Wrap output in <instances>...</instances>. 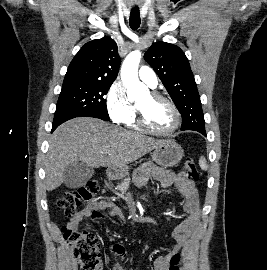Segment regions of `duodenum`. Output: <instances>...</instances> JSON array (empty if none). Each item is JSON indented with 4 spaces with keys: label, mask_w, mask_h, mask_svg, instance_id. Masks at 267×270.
I'll return each mask as SVG.
<instances>
[{
    "label": "duodenum",
    "mask_w": 267,
    "mask_h": 270,
    "mask_svg": "<svg viewBox=\"0 0 267 270\" xmlns=\"http://www.w3.org/2000/svg\"><path fill=\"white\" fill-rule=\"evenodd\" d=\"M108 174H109V176H111V175H112V172H111V171H109V173H108Z\"/></svg>",
    "instance_id": "duodenum-1"
}]
</instances>
